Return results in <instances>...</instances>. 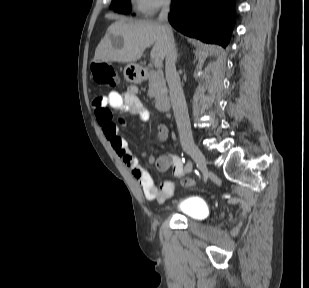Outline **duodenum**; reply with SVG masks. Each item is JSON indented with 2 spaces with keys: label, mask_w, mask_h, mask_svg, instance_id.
<instances>
[{
  "label": "duodenum",
  "mask_w": 309,
  "mask_h": 288,
  "mask_svg": "<svg viewBox=\"0 0 309 288\" xmlns=\"http://www.w3.org/2000/svg\"><path fill=\"white\" fill-rule=\"evenodd\" d=\"M141 74H142V76H144L145 72L142 71ZM158 104H159L160 110L162 112H166L169 109V106H170V99L167 96L162 97V98L159 99Z\"/></svg>",
  "instance_id": "duodenum-1"
}]
</instances>
